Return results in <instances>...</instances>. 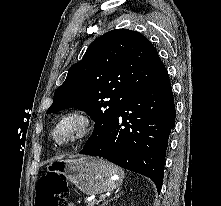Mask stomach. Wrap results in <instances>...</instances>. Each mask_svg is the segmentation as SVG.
<instances>
[{"instance_id": "obj_1", "label": "stomach", "mask_w": 221, "mask_h": 206, "mask_svg": "<svg viewBox=\"0 0 221 206\" xmlns=\"http://www.w3.org/2000/svg\"><path fill=\"white\" fill-rule=\"evenodd\" d=\"M48 171L63 173L83 193L92 195L118 188L124 179V172L113 164L95 157L75 160H53Z\"/></svg>"}]
</instances>
